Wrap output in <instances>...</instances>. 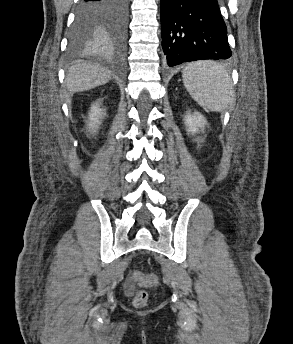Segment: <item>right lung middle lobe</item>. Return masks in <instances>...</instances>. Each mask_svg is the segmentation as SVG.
<instances>
[{"label": "right lung middle lobe", "instance_id": "obj_1", "mask_svg": "<svg viewBox=\"0 0 293 344\" xmlns=\"http://www.w3.org/2000/svg\"><path fill=\"white\" fill-rule=\"evenodd\" d=\"M99 27V18L94 13L86 12L78 7L76 20L70 36L72 48L78 49L95 45L96 32Z\"/></svg>", "mask_w": 293, "mask_h": 344}]
</instances>
